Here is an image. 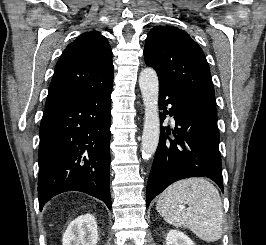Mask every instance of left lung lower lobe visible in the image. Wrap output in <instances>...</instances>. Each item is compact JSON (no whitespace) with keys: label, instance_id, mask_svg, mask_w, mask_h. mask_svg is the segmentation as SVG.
I'll list each match as a JSON object with an SVG mask.
<instances>
[{"label":"left lung lower lobe","instance_id":"0a47b994","mask_svg":"<svg viewBox=\"0 0 266 245\" xmlns=\"http://www.w3.org/2000/svg\"><path fill=\"white\" fill-rule=\"evenodd\" d=\"M168 104L172 108L164 115L174 116L175 139L170 140L162 127L147 183L146 207L170 184L189 177L210 178L224 192L217 114L159 84L160 110ZM164 119L161 114V122Z\"/></svg>","mask_w":266,"mask_h":245}]
</instances>
